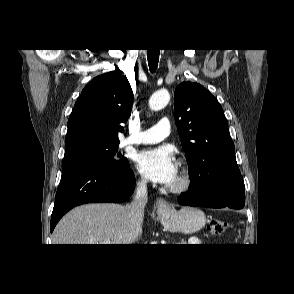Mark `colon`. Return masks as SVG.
<instances>
[{"mask_svg":"<svg viewBox=\"0 0 294 294\" xmlns=\"http://www.w3.org/2000/svg\"><path fill=\"white\" fill-rule=\"evenodd\" d=\"M227 223L222 220H211L207 225V230L212 236H217L227 229Z\"/></svg>","mask_w":294,"mask_h":294,"instance_id":"5ec220e1","label":"colon"}]
</instances>
